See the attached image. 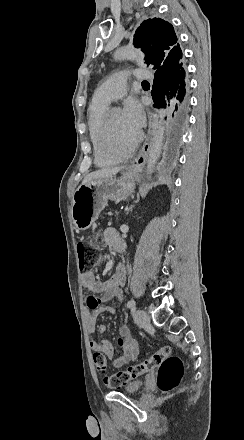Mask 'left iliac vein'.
<instances>
[{
    "mask_svg": "<svg viewBox=\"0 0 244 440\" xmlns=\"http://www.w3.org/2000/svg\"><path fill=\"white\" fill-rule=\"evenodd\" d=\"M134 321L141 326H144L146 324H149L150 322V317L148 315V313L144 310H137L134 313Z\"/></svg>",
    "mask_w": 244,
    "mask_h": 440,
    "instance_id": "left-iliac-vein-1",
    "label": "left iliac vein"
}]
</instances>
